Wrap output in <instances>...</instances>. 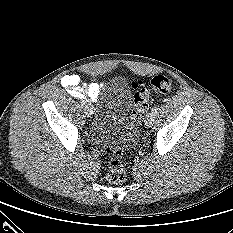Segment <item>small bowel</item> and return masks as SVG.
Here are the masks:
<instances>
[{
	"label": "small bowel",
	"instance_id": "1",
	"mask_svg": "<svg viewBox=\"0 0 233 233\" xmlns=\"http://www.w3.org/2000/svg\"><path fill=\"white\" fill-rule=\"evenodd\" d=\"M61 84L73 97L91 101L98 99L100 90L103 87V83L97 79H93L90 83H84L75 73L65 75L61 80Z\"/></svg>",
	"mask_w": 233,
	"mask_h": 233
}]
</instances>
